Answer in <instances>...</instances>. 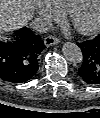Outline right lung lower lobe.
<instances>
[{
	"label": "right lung lower lobe",
	"instance_id": "98d812e1",
	"mask_svg": "<svg viewBox=\"0 0 100 118\" xmlns=\"http://www.w3.org/2000/svg\"><path fill=\"white\" fill-rule=\"evenodd\" d=\"M15 35L16 41L0 43V78L11 83H23L37 73L39 55L45 45L39 35L26 27Z\"/></svg>",
	"mask_w": 100,
	"mask_h": 118
}]
</instances>
